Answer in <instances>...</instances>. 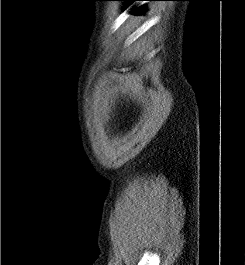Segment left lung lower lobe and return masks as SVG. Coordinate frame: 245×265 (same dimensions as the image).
Returning <instances> with one entry per match:
<instances>
[{
  "label": "left lung lower lobe",
  "mask_w": 245,
  "mask_h": 265,
  "mask_svg": "<svg viewBox=\"0 0 245 265\" xmlns=\"http://www.w3.org/2000/svg\"><path fill=\"white\" fill-rule=\"evenodd\" d=\"M115 1H128V2H134V1H156V0H115ZM144 12V8L139 7L136 10H134L133 14H141Z\"/></svg>",
  "instance_id": "obj_1"
}]
</instances>
